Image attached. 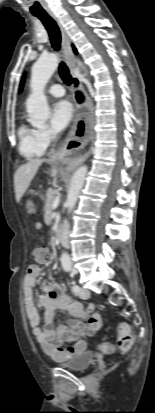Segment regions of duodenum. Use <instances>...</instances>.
Instances as JSON below:
<instances>
[{"mask_svg":"<svg viewBox=\"0 0 155 413\" xmlns=\"http://www.w3.org/2000/svg\"><path fill=\"white\" fill-rule=\"evenodd\" d=\"M60 241H61V234H60V229H58V232H57V234L55 235V242H56L57 244H59Z\"/></svg>","mask_w":155,"mask_h":413,"instance_id":"obj_1","label":"duodenum"}]
</instances>
